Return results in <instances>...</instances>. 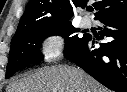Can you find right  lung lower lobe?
Here are the masks:
<instances>
[{
  "instance_id": "1",
  "label": "right lung lower lobe",
  "mask_w": 127,
  "mask_h": 92,
  "mask_svg": "<svg viewBox=\"0 0 127 92\" xmlns=\"http://www.w3.org/2000/svg\"><path fill=\"white\" fill-rule=\"evenodd\" d=\"M101 38L111 41L94 48L95 40L88 35L83 43L65 54L104 86L116 91L127 92V8L105 14L98 19Z\"/></svg>"
}]
</instances>
